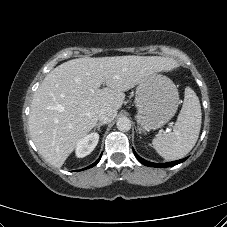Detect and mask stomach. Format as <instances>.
I'll return each mask as SVG.
<instances>
[{"mask_svg": "<svg viewBox=\"0 0 227 227\" xmlns=\"http://www.w3.org/2000/svg\"><path fill=\"white\" fill-rule=\"evenodd\" d=\"M137 122L144 130L164 126L175 115L179 105L176 85L168 77L153 73L136 88Z\"/></svg>", "mask_w": 227, "mask_h": 227, "instance_id": "0dacf381", "label": "stomach"}]
</instances>
